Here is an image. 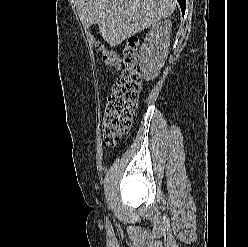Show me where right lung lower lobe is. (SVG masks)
I'll return each instance as SVG.
<instances>
[{
	"label": "right lung lower lobe",
	"instance_id": "right-lung-lower-lobe-1",
	"mask_svg": "<svg viewBox=\"0 0 248 247\" xmlns=\"http://www.w3.org/2000/svg\"><path fill=\"white\" fill-rule=\"evenodd\" d=\"M180 4V7H181V10H182V14L185 13V3H186V0H177Z\"/></svg>",
	"mask_w": 248,
	"mask_h": 247
}]
</instances>
